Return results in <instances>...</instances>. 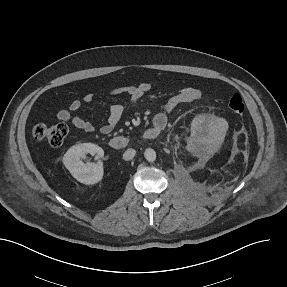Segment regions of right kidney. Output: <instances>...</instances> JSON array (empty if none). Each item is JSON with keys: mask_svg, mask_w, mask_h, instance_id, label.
I'll return each instance as SVG.
<instances>
[{"mask_svg": "<svg viewBox=\"0 0 287 287\" xmlns=\"http://www.w3.org/2000/svg\"><path fill=\"white\" fill-rule=\"evenodd\" d=\"M88 153L95 155L96 159L104 155L103 149L98 145L82 143L68 149L63 156V164L77 181L86 185H92L102 180L104 171L101 161L84 163L81 160Z\"/></svg>", "mask_w": 287, "mask_h": 287, "instance_id": "obj_1", "label": "right kidney"}]
</instances>
